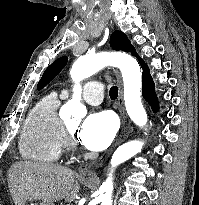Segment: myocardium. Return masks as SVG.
<instances>
[{
  "instance_id": "1",
  "label": "myocardium",
  "mask_w": 199,
  "mask_h": 205,
  "mask_svg": "<svg viewBox=\"0 0 199 205\" xmlns=\"http://www.w3.org/2000/svg\"><path fill=\"white\" fill-rule=\"evenodd\" d=\"M63 146L70 147L74 145L73 133L68 129L66 125H63Z\"/></svg>"
}]
</instances>
